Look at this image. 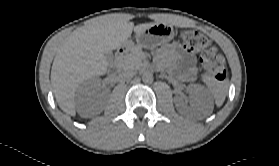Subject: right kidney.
<instances>
[{
	"label": "right kidney",
	"mask_w": 279,
	"mask_h": 166,
	"mask_svg": "<svg viewBox=\"0 0 279 166\" xmlns=\"http://www.w3.org/2000/svg\"><path fill=\"white\" fill-rule=\"evenodd\" d=\"M99 86V81H89L86 83L84 92L78 94L77 101L81 111H84L87 107L96 102L98 97L96 90Z\"/></svg>",
	"instance_id": "obj_1"
}]
</instances>
